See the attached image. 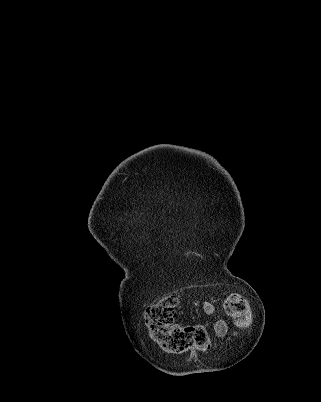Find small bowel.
Returning a JSON list of instances; mask_svg holds the SVG:
<instances>
[{
    "label": "small bowel",
    "mask_w": 321,
    "mask_h": 402,
    "mask_svg": "<svg viewBox=\"0 0 321 402\" xmlns=\"http://www.w3.org/2000/svg\"><path fill=\"white\" fill-rule=\"evenodd\" d=\"M202 310L207 315H212V316L216 315V307L211 302H208V301L203 302ZM213 329L217 336L222 337L227 334L228 325L223 319L218 318L213 325Z\"/></svg>",
    "instance_id": "c3829d8e"
}]
</instances>
